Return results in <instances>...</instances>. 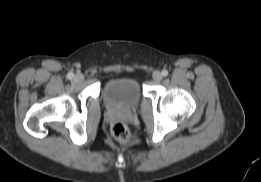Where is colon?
Masks as SVG:
<instances>
[{"label":"colon","instance_id":"colon-1","mask_svg":"<svg viewBox=\"0 0 261 182\" xmlns=\"http://www.w3.org/2000/svg\"><path fill=\"white\" fill-rule=\"evenodd\" d=\"M111 131L114 138L122 143H127L131 139L130 130L123 122H115L112 125Z\"/></svg>","mask_w":261,"mask_h":182}]
</instances>
